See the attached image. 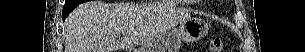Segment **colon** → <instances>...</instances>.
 <instances>
[{
	"instance_id": "colon-1",
	"label": "colon",
	"mask_w": 305,
	"mask_h": 52,
	"mask_svg": "<svg viewBox=\"0 0 305 52\" xmlns=\"http://www.w3.org/2000/svg\"><path fill=\"white\" fill-rule=\"evenodd\" d=\"M210 51L212 52H224V44L223 41L219 38H215L211 40L209 44Z\"/></svg>"
}]
</instances>
